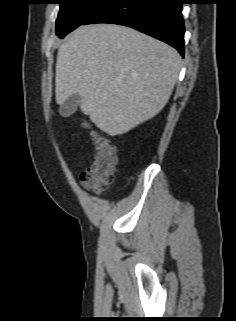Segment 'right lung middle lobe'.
<instances>
[{
	"instance_id": "1",
	"label": "right lung middle lobe",
	"mask_w": 236,
	"mask_h": 321,
	"mask_svg": "<svg viewBox=\"0 0 236 321\" xmlns=\"http://www.w3.org/2000/svg\"><path fill=\"white\" fill-rule=\"evenodd\" d=\"M109 0H59L60 11L56 20V34L63 38L82 25Z\"/></svg>"
}]
</instances>
